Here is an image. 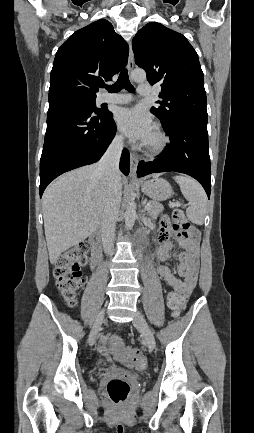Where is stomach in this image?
<instances>
[{"mask_svg": "<svg viewBox=\"0 0 254 433\" xmlns=\"http://www.w3.org/2000/svg\"><path fill=\"white\" fill-rule=\"evenodd\" d=\"M141 190L148 197L156 201H164L172 196V187L168 181L153 177L140 183Z\"/></svg>", "mask_w": 254, "mask_h": 433, "instance_id": "stomach-1", "label": "stomach"}]
</instances>
